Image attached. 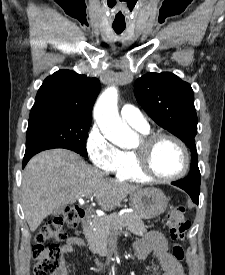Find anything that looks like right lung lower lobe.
I'll return each mask as SVG.
<instances>
[{"mask_svg": "<svg viewBox=\"0 0 225 275\" xmlns=\"http://www.w3.org/2000/svg\"><path fill=\"white\" fill-rule=\"evenodd\" d=\"M31 157L32 156H24V159H23V168L27 164V162L30 160Z\"/></svg>", "mask_w": 225, "mask_h": 275, "instance_id": "1", "label": "right lung lower lobe"}]
</instances>
